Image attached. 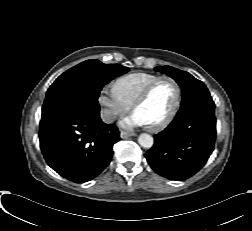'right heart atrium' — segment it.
<instances>
[{"instance_id":"right-heart-atrium-1","label":"right heart atrium","mask_w":252,"mask_h":231,"mask_svg":"<svg viewBox=\"0 0 252 231\" xmlns=\"http://www.w3.org/2000/svg\"><path fill=\"white\" fill-rule=\"evenodd\" d=\"M101 106V118L106 123L113 122L117 117L123 116L131 108L118 94L114 86H105L98 95Z\"/></svg>"}]
</instances>
